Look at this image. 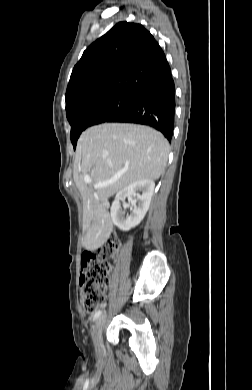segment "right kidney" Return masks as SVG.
<instances>
[{
    "instance_id": "1",
    "label": "right kidney",
    "mask_w": 252,
    "mask_h": 390,
    "mask_svg": "<svg viewBox=\"0 0 252 390\" xmlns=\"http://www.w3.org/2000/svg\"><path fill=\"white\" fill-rule=\"evenodd\" d=\"M154 187L153 180L145 179L136 181L119 191L111 206V219L114 225L122 231H129L140 224L149 209ZM126 197H135L138 204L132 205L130 208L132 213L125 217L120 211V203L124 202Z\"/></svg>"
}]
</instances>
